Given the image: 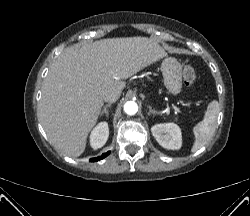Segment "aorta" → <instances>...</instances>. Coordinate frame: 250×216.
Listing matches in <instances>:
<instances>
[{
    "label": "aorta",
    "mask_w": 250,
    "mask_h": 216,
    "mask_svg": "<svg viewBox=\"0 0 250 216\" xmlns=\"http://www.w3.org/2000/svg\"><path fill=\"white\" fill-rule=\"evenodd\" d=\"M124 111L128 114V115H134L137 113L138 111V105L136 102L134 101H128L125 103L124 105Z\"/></svg>",
    "instance_id": "762f6f07"
}]
</instances>
